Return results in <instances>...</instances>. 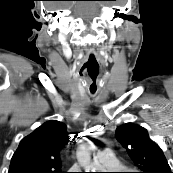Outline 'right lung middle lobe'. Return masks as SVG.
Segmentation results:
<instances>
[{"label": "right lung middle lobe", "mask_w": 173, "mask_h": 173, "mask_svg": "<svg viewBox=\"0 0 173 173\" xmlns=\"http://www.w3.org/2000/svg\"><path fill=\"white\" fill-rule=\"evenodd\" d=\"M18 173H34V172L33 171L23 170V171H18ZM49 173H52V171H49Z\"/></svg>", "instance_id": "right-lung-middle-lobe-1"}]
</instances>
